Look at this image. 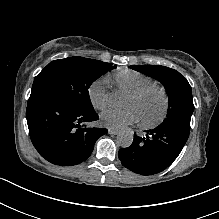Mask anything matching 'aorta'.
<instances>
[{
	"mask_svg": "<svg viewBox=\"0 0 219 219\" xmlns=\"http://www.w3.org/2000/svg\"><path fill=\"white\" fill-rule=\"evenodd\" d=\"M109 104L115 108H121L126 103L125 96L117 91H113L108 95ZM133 133L129 130H123L117 135V144L122 148L130 147L133 142Z\"/></svg>",
	"mask_w": 219,
	"mask_h": 219,
	"instance_id": "aorta-1",
	"label": "aorta"
}]
</instances>
